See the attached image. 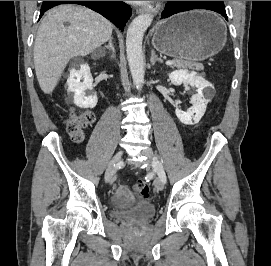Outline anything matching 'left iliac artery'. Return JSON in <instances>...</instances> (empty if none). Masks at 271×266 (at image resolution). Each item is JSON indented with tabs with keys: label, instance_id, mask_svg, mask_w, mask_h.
<instances>
[{
	"label": "left iliac artery",
	"instance_id": "44dca946",
	"mask_svg": "<svg viewBox=\"0 0 271 266\" xmlns=\"http://www.w3.org/2000/svg\"><path fill=\"white\" fill-rule=\"evenodd\" d=\"M152 166L157 171V173H158L159 177L161 178V180L164 183H166L167 178H166V174H165V171L163 169V166H162L161 162L160 161L153 162Z\"/></svg>",
	"mask_w": 271,
	"mask_h": 266
}]
</instances>
